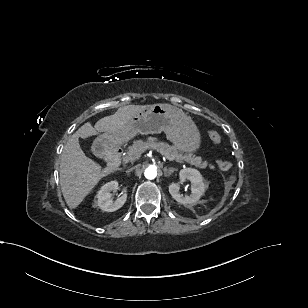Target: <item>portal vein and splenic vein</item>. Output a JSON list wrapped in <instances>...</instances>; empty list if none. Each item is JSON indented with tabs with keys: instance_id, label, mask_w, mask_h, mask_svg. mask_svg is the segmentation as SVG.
<instances>
[{
	"instance_id": "portal-vein-and-splenic-vein-1",
	"label": "portal vein and splenic vein",
	"mask_w": 308,
	"mask_h": 308,
	"mask_svg": "<svg viewBox=\"0 0 308 308\" xmlns=\"http://www.w3.org/2000/svg\"><path fill=\"white\" fill-rule=\"evenodd\" d=\"M168 160H170V161H177V162H181V163H183V161L184 160H182V159H177V158H175V157H171V156H167V155H164Z\"/></svg>"
}]
</instances>
